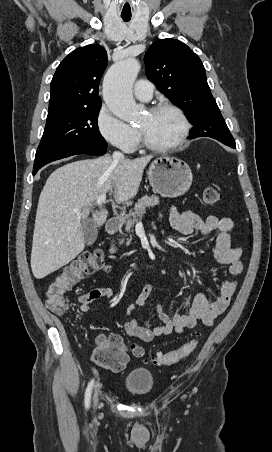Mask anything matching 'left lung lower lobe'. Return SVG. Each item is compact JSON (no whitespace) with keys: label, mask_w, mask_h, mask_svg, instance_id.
I'll return each instance as SVG.
<instances>
[{"label":"left lung lower lobe","mask_w":272,"mask_h":452,"mask_svg":"<svg viewBox=\"0 0 272 452\" xmlns=\"http://www.w3.org/2000/svg\"><path fill=\"white\" fill-rule=\"evenodd\" d=\"M196 137H200V136L198 134H194V135H190L189 136L190 139L196 138ZM218 141H220V142H222V143H224V144H226V145H228L230 147H232V145H233V143L231 141H229L228 139H226V138H220V139H218ZM235 147H236V144H234L233 148H235Z\"/></svg>","instance_id":"0a47b994"}]
</instances>
